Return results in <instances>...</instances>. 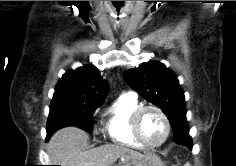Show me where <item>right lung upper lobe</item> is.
<instances>
[{"label": "right lung upper lobe", "mask_w": 236, "mask_h": 166, "mask_svg": "<svg viewBox=\"0 0 236 166\" xmlns=\"http://www.w3.org/2000/svg\"><path fill=\"white\" fill-rule=\"evenodd\" d=\"M108 83L94 66L67 71L59 80L52 102L76 101L100 105L108 92Z\"/></svg>", "instance_id": "right-lung-upper-lobe-1"}]
</instances>
